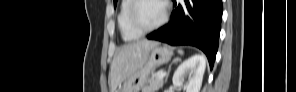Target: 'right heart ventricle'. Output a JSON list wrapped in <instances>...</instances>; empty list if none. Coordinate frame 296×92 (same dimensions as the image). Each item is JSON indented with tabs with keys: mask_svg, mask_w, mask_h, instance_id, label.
Masks as SVG:
<instances>
[{
	"mask_svg": "<svg viewBox=\"0 0 296 92\" xmlns=\"http://www.w3.org/2000/svg\"><path fill=\"white\" fill-rule=\"evenodd\" d=\"M132 2V0H123L121 2L119 13L117 16L118 27L121 36L125 41L136 40L142 35L136 32L129 24L128 15Z\"/></svg>",
	"mask_w": 296,
	"mask_h": 92,
	"instance_id": "1",
	"label": "right heart ventricle"
}]
</instances>
